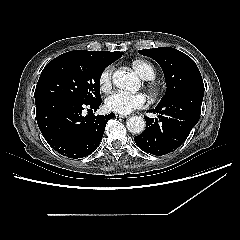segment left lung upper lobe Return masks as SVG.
<instances>
[{
  "label": "left lung upper lobe",
  "instance_id": "obj_1",
  "mask_svg": "<svg viewBox=\"0 0 240 240\" xmlns=\"http://www.w3.org/2000/svg\"><path fill=\"white\" fill-rule=\"evenodd\" d=\"M139 53L157 61L164 72L167 89L158 105L181 92L196 87L204 88L196 63L186 54L170 47L144 49Z\"/></svg>",
  "mask_w": 240,
  "mask_h": 240
}]
</instances>
